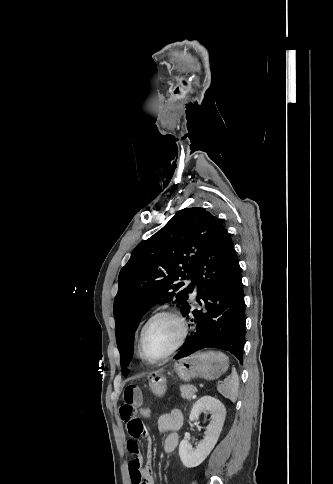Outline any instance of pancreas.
<instances>
[{
  "label": "pancreas",
  "mask_w": 333,
  "mask_h": 484,
  "mask_svg": "<svg viewBox=\"0 0 333 484\" xmlns=\"http://www.w3.org/2000/svg\"><path fill=\"white\" fill-rule=\"evenodd\" d=\"M180 392L184 399L190 400L191 397L197 392V389L194 385L186 384L180 386Z\"/></svg>",
  "instance_id": "cf45deb5"
}]
</instances>
